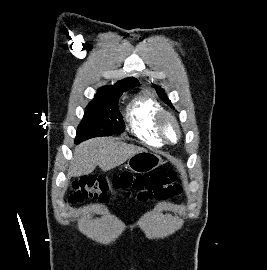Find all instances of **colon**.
I'll list each match as a JSON object with an SVG mask.
<instances>
[{
  "mask_svg": "<svg viewBox=\"0 0 267 270\" xmlns=\"http://www.w3.org/2000/svg\"><path fill=\"white\" fill-rule=\"evenodd\" d=\"M176 179L175 170L163 169L138 175L125 172L111 179L103 176H84L73 183L68 200L72 204L89 198L107 202L112 193L123 191L140 201H162L181 193L182 188Z\"/></svg>",
  "mask_w": 267,
  "mask_h": 270,
  "instance_id": "5ec220e1",
  "label": "colon"
}]
</instances>
